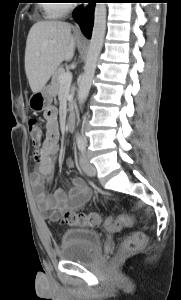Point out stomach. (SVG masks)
<instances>
[{"mask_svg": "<svg viewBox=\"0 0 181 300\" xmlns=\"http://www.w3.org/2000/svg\"><path fill=\"white\" fill-rule=\"evenodd\" d=\"M53 96L51 86H44L42 89L31 95L28 105L33 111H43L51 105Z\"/></svg>", "mask_w": 181, "mask_h": 300, "instance_id": "1", "label": "stomach"}]
</instances>
